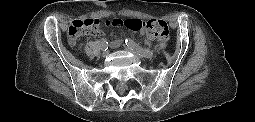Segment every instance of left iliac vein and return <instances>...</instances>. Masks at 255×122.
<instances>
[{
    "label": "left iliac vein",
    "instance_id": "left-iliac-vein-1",
    "mask_svg": "<svg viewBox=\"0 0 255 122\" xmlns=\"http://www.w3.org/2000/svg\"><path fill=\"white\" fill-rule=\"evenodd\" d=\"M124 48H125V50L131 52L132 54H134L138 58H143V56L140 53H138L137 51L133 50L132 48H130L128 46H125Z\"/></svg>",
    "mask_w": 255,
    "mask_h": 122
}]
</instances>
